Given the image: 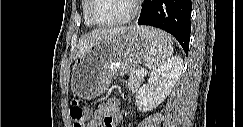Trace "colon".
Segmentation results:
<instances>
[{
  "mask_svg": "<svg viewBox=\"0 0 243 127\" xmlns=\"http://www.w3.org/2000/svg\"><path fill=\"white\" fill-rule=\"evenodd\" d=\"M70 117L74 127H84L86 122V110L78 101L70 106Z\"/></svg>",
  "mask_w": 243,
  "mask_h": 127,
  "instance_id": "colon-1",
  "label": "colon"
}]
</instances>
